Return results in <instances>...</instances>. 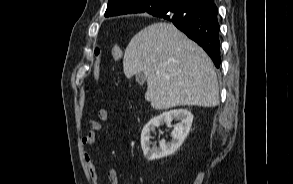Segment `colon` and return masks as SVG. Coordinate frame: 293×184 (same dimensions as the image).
I'll list each match as a JSON object with an SVG mask.
<instances>
[{"label":"colon","instance_id":"1","mask_svg":"<svg viewBox=\"0 0 293 184\" xmlns=\"http://www.w3.org/2000/svg\"><path fill=\"white\" fill-rule=\"evenodd\" d=\"M111 53L116 60H121L123 57L122 48L117 45L112 46ZM94 55L95 60L93 65V80L95 83H97L101 73V49L98 46H96L94 49Z\"/></svg>","mask_w":293,"mask_h":184}]
</instances>
